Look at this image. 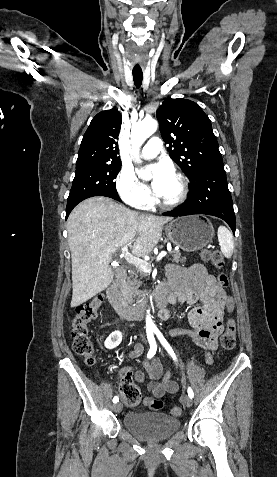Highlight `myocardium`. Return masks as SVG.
Masks as SVG:
<instances>
[{"label": "myocardium", "instance_id": "f54148a6", "mask_svg": "<svg viewBox=\"0 0 277 477\" xmlns=\"http://www.w3.org/2000/svg\"><path fill=\"white\" fill-rule=\"evenodd\" d=\"M175 177L178 179L179 184H180V193L178 197L172 201H163L162 199H158L157 203L160 207L164 209H174L182 205L189 193V183L188 179L181 173H176Z\"/></svg>", "mask_w": 277, "mask_h": 477}]
</instances>
